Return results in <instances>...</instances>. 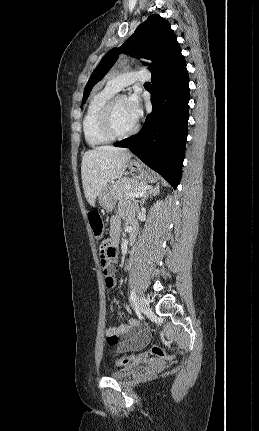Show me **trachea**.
<instances>
[{"mask_svg": "<svg viewBox=\"0 0 259 431\" xmlns=\"http://www.w3.org/2000/svg\"><path fill=\"white\" fill-rule=\"evenodd\" d=\"M145 85H151V83L147 82V83H145Z\"/></svg>", "mask_w": 259, "mask_h": 431, "instance_id": "3493384b", "label": "trachea"}]
</instances>
